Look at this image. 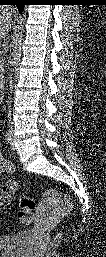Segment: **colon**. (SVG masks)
<instances>
[{
  "label": "colon",
  "instance_id": "1",
  "mask_svg": "<svg viewBox=\"0 0 106 257\" xmlns=\"http://www.w3.org/2000/svg\"><path fill=\"white\" fill-rule=\"evenodd\" d=\"M43 195L46 197L45 202L42 204V208L52 206L62 212H67L72 208V199L65 193L57 189H46L43 191ZM36 208L35 200L29 196L23 195L20 199V207L18 212V218L23 224H30L35 218L34 210ZM59 235L56 236L58 238Z\"/></svg>",
  "mask_w": 106,
  "mask_h": 257
}]
</instances>
